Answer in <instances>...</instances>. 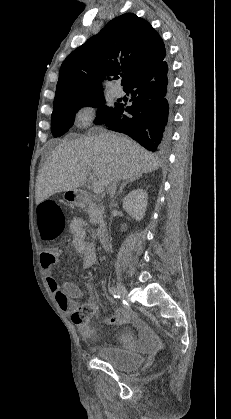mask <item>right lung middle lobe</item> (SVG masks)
Wrapping results in <instances>:
<instances>
[{
  "instance_id": "dd1d6c3e",
  "label": "right lung middle lobe",
  "mask_w": 231,
  "mask_h": 419,
  "mask_svg": "<svg viewBox=\"0 0 231 419\" xmlns=\"http://www.w3.org/2000/svg\"><path fill=\"white\" fill-rule=\"evenodd\" d=\"M104 103L103 92L65 99L54 103L51 125L53 136L60 137L65 134L73 126L75 114L83 106L99 107L94 123L100 124L117 105L115 104V107H108Z\"/></svg>"
}]
</instances>
